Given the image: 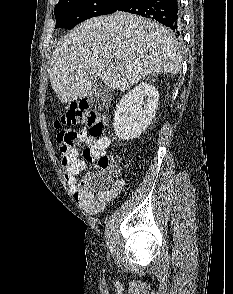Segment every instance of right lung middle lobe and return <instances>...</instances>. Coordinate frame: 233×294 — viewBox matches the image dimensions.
Listing matches in <instances>:
<instances>
[{"instance_id": "dd1d6c3e", "label": "right lung middle lobe", "mask_w": 233, "mask_h": 294, "mask_svg": "<svg viewBox=\"0 0 233 294\" xmlns=\"http://www.w3.org/2000/svg\"><path fill=\"white\" fill-rule=\"evenodd\" d=\"M124 0H59L55 28L72 29L91 17L114 13Z\"/></svg>"}]
</instances>
